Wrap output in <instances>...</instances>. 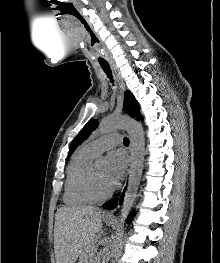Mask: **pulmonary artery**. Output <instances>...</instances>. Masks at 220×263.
I'll return each mask as SVG.
<instances>
[{"mask_svg":"<svg viewBox=\"0 0 220 263\" xmlns=\"http://www.w3.org/2000/svg\"><path fill=\"white\" fill-rule=\"evenodd\" d=\"M121 141L122 138L119 134L111 133L94 139L88 142L85 146L88 150L96 155L108 148L118 145L119 143H121Z\"/></svg>","mask_w":220,"mask_h":263,"instance_id":"e3ab8cb5","label":"pulmonary artery"}]
</instances>
